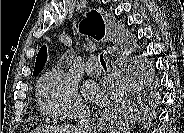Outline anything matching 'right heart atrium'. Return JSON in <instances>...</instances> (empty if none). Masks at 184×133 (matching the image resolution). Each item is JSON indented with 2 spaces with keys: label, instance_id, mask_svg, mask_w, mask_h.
<instances>
[{
  "label": "right heart atrium",
  "instance_id": "obj_1",
  "mask_svg": "<svg viewBox=\"0 0 184 133\" xmlns=\"http://www.w3.org/2000/svg\"><path fill=\"white\" fill-rule=\"evenodd\" d=\"M37 91L41 110L52 119H69L86 110L76 84L59 68L41 77Z\"/></svg>",
  "mask_w": 184,
  "mask_h": 133
}]
</instances>
